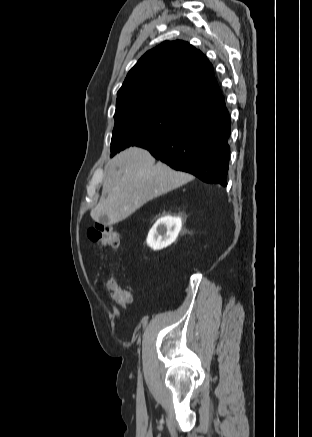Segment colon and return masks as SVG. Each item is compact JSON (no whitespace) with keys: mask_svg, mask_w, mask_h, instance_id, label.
I'll return each instance as SVG.
<instances>
[{"mask_svg":"<svg viewBox=\"0 0 312 437\" xmlns=\"http://www.w3.org/2000/svg\"><path fill=\"white\" fill-rule=\"evenodd\" d=\"M87 234L91 241L105 247L116 249L120 243V235L111 225L99 224L89 229ZM103 288L107 295L119 305L125 306L129 303V293L122 289L113 278L105 280Z\"/></svg>","mask_w":312,"mask_h":437,"instance_id":"colon-1","label":"colon"}]
</instances>
